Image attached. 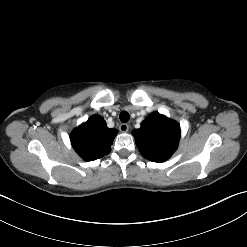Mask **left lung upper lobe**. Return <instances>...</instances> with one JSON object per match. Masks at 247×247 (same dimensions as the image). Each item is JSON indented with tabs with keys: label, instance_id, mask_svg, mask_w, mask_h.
Returning <instances> with one entry per match:
<instances>
[{
	"label": "left lung upper lobe",
	"instance_id": "left-lung-upper-lobe-1",
	"mask_svg": "<svg viewBox=\"0 0 247 247\" xmlns=\"http://www.w3.org/2000/svg\"><path fill=\"white\" fill-rule=\"evenodd\" d=\"M140 153L153 162L168 160L178 147L180 125L154 112L132 132Z\"/></svg>",
	"mask_w": 247,
	"mask_h": 247
}]
</instances>
